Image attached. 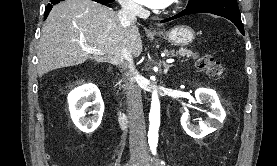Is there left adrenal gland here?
<instances>
[{"instance_id":"obj_1","label":"left adrenal gland","mask_w":277,"mask_h":166,"mask_svg":"<svg viewBox=\"0 0 277 166\" xmlns=\"http://www.w3.org/2000/svg\"><path fill=\"white\" fill-rule=\"evenodd\" d=\"M173 65H169V64H166L165 62H163V67H164V74H167L168 70L170 67H172Z\"/></svg>"}]
</instances>
